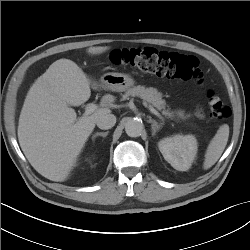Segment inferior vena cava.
<instances>
[{
    "mask_svg": "<svg viewBox=\"0 0 250 250\" xmlns=\"http://www.w3.org/2000/svg\"><path fill=\"white\" fill-rule=\"evenodd\" d=\"M116 123V117L113 114H105L101 115L97 121L96 124L100 129H110L112 128Z\"/></svg>",
    "mask_w": 250,
    "mask_h": 250,
    "instance_id": "1",
    "label": "inferior vena cava"
}]
</instances>
